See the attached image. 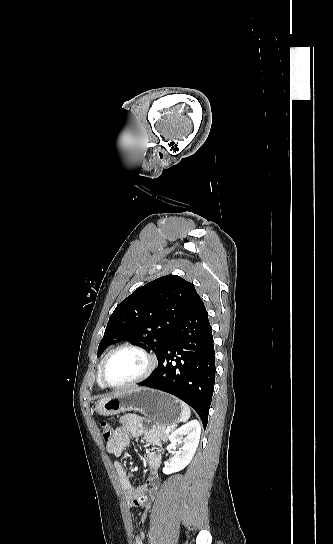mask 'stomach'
<instances>
[{
  "mask_svg": "<svg viewBox=\"0 0 333 544\" xmlns=\"http://www.w3.org/2000/svg\"><path fill=\"white\" fill-rule=\"evenodd\" d=\"M95 409L103 416L138 411L151 418L157 426L164 427L177 423L182 410L178 399L149 388H132L118 392L98 401Z\"/></svg>",
  "mask_w": 333,
  "mask_h": 544,
  "instance_id": "0dacf381",
  "label": "stomach"
}]
</instances>
